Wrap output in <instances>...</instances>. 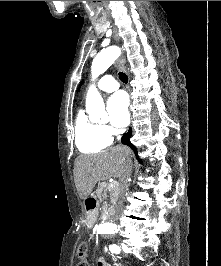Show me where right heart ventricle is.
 <instances>
[{
	"instance_id": "right-heart-ventricle-1",
	"label": "right heart ventricle",
	"mask_w": 221,
	"mask_h": 266,
	"mask_svg": "<svg viewBox=\"0 0 221 266\" xmlns=\"http://www.w3.org/2000/svg\"><path fill=\"white\" fill-rule=\"evenodd\" d=\"M74 136L76 147L85 154L101 152L110 144L102 125L88 119L84 111H79L76 117Z\"/></svg>"
}]
</instances>
